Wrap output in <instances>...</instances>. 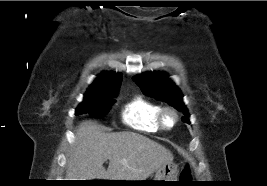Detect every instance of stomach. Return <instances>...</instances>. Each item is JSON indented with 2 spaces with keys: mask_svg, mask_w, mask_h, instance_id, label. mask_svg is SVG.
Instances as JSON below:
<instances>
[{
  "mask_svg": "<svg viewBox=\"0 0 267 186\" xmlns=\"http://www.w3.org/2000/svg\"><path fill=\"white\" fill-rule=\"evenodd\" d=\"M178 177V167L174 162L166 163L162 165L155 173L152 180L154 181L149 182L146 185H153V186H168L172 185V182H164V181H177ZM147 181V180H142Z\"/></svg>",
  "mask_w": 267,
  "mask_h": 186,
  "instance_id": "0dacf381",
  "label": "stomach"
}]
</instances>
